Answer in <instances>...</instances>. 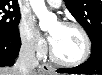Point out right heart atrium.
I'll return each mask as SVG.
<instances>
[{"instance_id": "right-heart-atrium-1", "label": "right heart atrium", "mask_w": 102, "mask_h": 75, "mask_svg": "<svg viewBox=\"0 0 102 75\" xmlns=\"http://www.w3.org/2000/svg\"><path fill=\"white\" fill-rule=\"evenodd\" d=\"M19 37L23 48L39 58H42L46 53V44L40 38L35 30L32 21L29 18L22 19L19 26Z\"/></svg>"}]
</instances>
